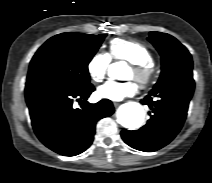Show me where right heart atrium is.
Segmentation results:
<instances>
[{
	"mask_svg": "<svg viewBox=\"0 0 212 183\" xmlns=\"http://www.w3.org/2000/svg\"><path fill=\"white\" fill-rule=\"evenodd\" d=\"M110 66V57L106 53L98 52L94 54L87 64V72L94 82L103 81Z\"/></svg>",
	"mask_w": 212,
	"mask_h": 183,
	"instance_id": "1",
	"label": "right heart atrium"
}]
</instances>
